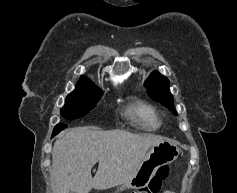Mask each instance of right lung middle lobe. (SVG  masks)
Listing matches in <instances>:
<instances>
[{"label":"right lung middle lobe","mask_w":237,"mask_h":193,"mask_svg":"<svg viewBox=\"0 0 237 193\" xmlns=\"http://www.w3.org/2000/svg\"><path fill=\"white\" fill-rule=\"evenodd\" d=\"M100 90L75 89L67 98L65 106L60 110L65 119H76L91 111L101 97Z\"/></svg>","instance_id":"obj_1"}]
</instances>
